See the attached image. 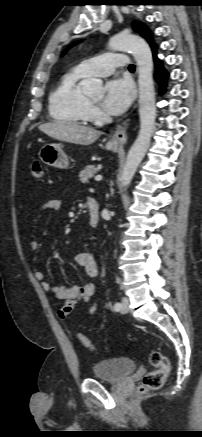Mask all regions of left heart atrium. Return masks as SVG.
<instances>
[{"label":"left heart atrium","mask_w":202,"mask_h":437,"mask_svg":"<svg viewBox=\"0 0 202 437\" xmlns=\"http://www.w3.org/2000/svg\"><path fill=\"white\" fill-rule=\"evenodd\" d=\"M133 97L134 89L129 80L112 79L106 84L102 105L106 112L118 115L127 109Z\"/></svg>","instance_id":"1"}]
</instances>
